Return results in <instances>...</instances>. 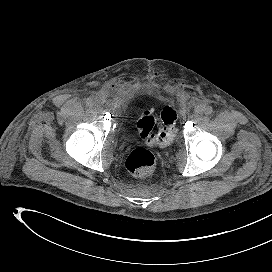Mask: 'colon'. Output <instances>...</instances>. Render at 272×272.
I'll return each instance as SVG.
<instances>
[{"instance_id": "1", "label": "colon", "mask_w": 272, "mask_h": 272, "mask_svg": "<svg viewBox=\"0 0 272 272\" xmlns=\"http://www.w3.org/2000/svg\"><path fill=\"white\" fill-rule=\"evenodd\" d=\"M177 114L171 107H165L161 112V124L154 131L156 119L151 110L143 112L137 128L140 136L149 145L167 146L176 133ZM155 157L145 148L134 149L126 159L127 170L137 177L150 176L155 169Z\"/></svg>"}]
</instances>
